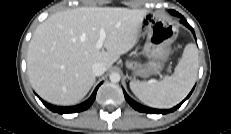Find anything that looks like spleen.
Returning <instances> with one entry per match:
<instances>
[{"instance_id":"3e777b00","label":"spleen","mask_w":231,"mask_h":134,"mask_svg":"<svg viewBox=\"0 0 231 134\" xmlns=\"http://www.w3.org/2000/svg\"><path fill=\"white\" fill-rule=\"evenodd\" d=\"M198 66L197 47L189 43L171 76L154 83L131 81L130 88L144 104L154 108H170L190 92L197 78Z\"/></svg>"}]
</instances>
